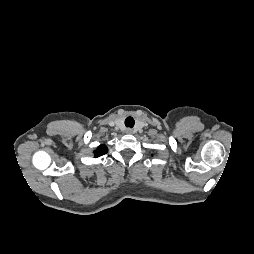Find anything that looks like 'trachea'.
<instances>
[{
  "instance_id": "1",
  "label": "trachea",
  "mask_w": 254,
  "mask_h": 254,
  "mask_svg": "<svg viewBox=\"0 0 254 254\" xmlns=\"http://www.w3.org/2000/svg\"><path fill=\"white\" fill-rule=\"evenodd\" d=\"M135 124V121L133 119V117L129 116L125 119V126L126 127H129V128H132Z\"/></svg>"
}]
</instances>
